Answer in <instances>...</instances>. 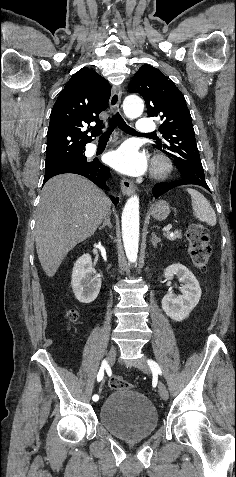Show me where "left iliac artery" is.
<instances>
[{"label":"left iliac artery","instance_id":"1","mask_svg":"<svg viewBox=\"0 0 236 477\" xmlns=\"http://www.w3.org/2000/svg\"><path fill=\"white\" fill-rule=\"evenodd\" d=\"M147 363L150 366V369L153 373H158V374L162 373L159 365L154 360L150 359V360L147 361Z\"/></svg>","mask_w":236,"mask_h":477}]
</instances>
